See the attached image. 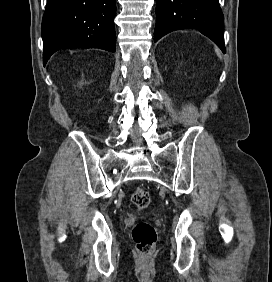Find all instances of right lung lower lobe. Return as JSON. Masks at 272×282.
Segmentation results:
<instances>
[{
    "instance_id": "1",
    "label": "right lung lower lobe",
    "mask_w": 272,
    "mask_h": 282,
    "mask_svg": "<svg viewBox=\"0 0 272 282\" xmlns=\"http://www.w3.org/2000/svg\"><path fill=\"white\" fill-rule=\"evenodd\" d=\"M116 0H48L42 20L43 64L61 49L115 52Z\"/></svg>"
}]
</instances>
